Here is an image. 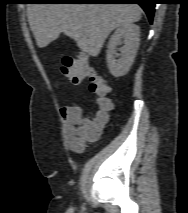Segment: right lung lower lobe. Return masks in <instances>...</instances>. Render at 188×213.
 Listing matches in <instances>:
<instances>
[{"mask_svg":"<svg viewBox=\"0 0 188 213\" xmlns=\"http://www.w3.org/2000/svg\"><path fill=\"white\" fill-rule=\"evenodd\" d=\"M76 3H131L139 4L146 12L150 22L153 20L154 8L157 0H70Z\"/></svg>","mask_w":188,"mask_h":213,"instance_id":"98d812e1","label":"right lung lower lobe"}]
</instances>
